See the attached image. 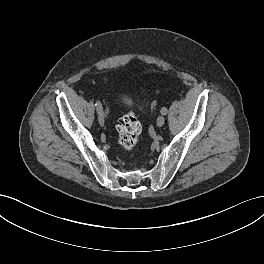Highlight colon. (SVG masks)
Here are the masks:
<instances>
[{
    "label": "colon",
    "mask_w": 264,
    "mask_h": 264,
    "mask_svg": "<svg viewBox=\"0 0 264 264\" xmlns=\"http://www.w3.org/2000/svg\"><path fill=\"white\" fill-rule=\"evenodd\" d=\"M141 123L134 112H128L117 123L118 142L126 150L138 143L141 134Z\"/></svg>",
    "instance_id": "obj_1"
}]
</instances>
